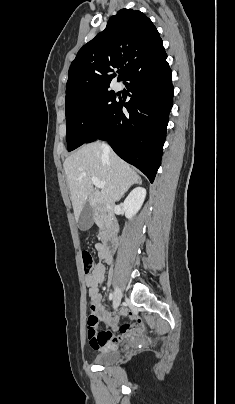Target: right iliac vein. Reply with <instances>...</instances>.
I'll list each match as a JSON object with an SVG mask.
<instances>
[{"label": "right iliac vein", "instance_id": "obj_1", "mask_svg": "<svg viewBox=\"0 0 235 404\" xmlns=\"http://www.w3.org/2000/svg\"><path fill=\"white\" fill-rule=\"evenodd\" d=\"M121 299H122V292L119 288H116L114 297H113L114 309H117L119 307V305L121 303Z\"/></svg>", "mask_w": 235, "mask_h": 404}]
</instances>
